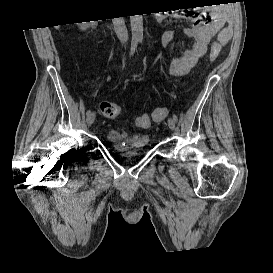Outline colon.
<instances>
[{
  "label": "colon",
  "instance_id": "obj_1",
  "mask_svg": "<svg viewBox=\"0 0 273 273\" xmlns=\"http://www.w3.org/2000/svg\"><path fill=\"white\" fill-rule=\"evenodd\" d=\"M220 56L218 45L214 44L211 48L210 58L216 61ZM100 111L106 118L114 119L121 115V107L113 102H103L100 104ZM169 111L166 108H156L150 114H144L137 118L136 124L139 127L147 128L153 121H161L167 118Z\"/></svg>",
  "mask_w": 273,
  "mask_h": 273
}]
</instances>
